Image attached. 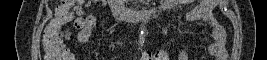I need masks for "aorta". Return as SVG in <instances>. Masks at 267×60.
Segmentation results:
<instances>
[{"instance_id":"762f6f07","label":"aorta","mask_w":267,"mask_h":60,"mask_svg":"<svg viewBox=\"0 0 267 60\" xmlns=\"http://www.w3.org/2000/svg\"><path fill=\"white\" fill-rule=\"evenodd\" d=\"M145 32H146V28H145V26H141V33H140V35H139V43H143L144 42V40H145Z\"/></svg>"}]
</instances>
